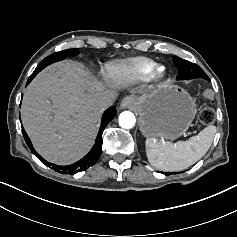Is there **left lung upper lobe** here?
<instances>
[{"label": "left lung upper lobe", "instance_id": "left-lung-upper-lobe-1", "mask_svg": "<svg viewBox=\"0 0 237 237\" xmlns=\"http://www.w3.org/2000/svg\"><path fill=\"white\" fill-rule=\"evenodd\" d=\"M173 61L175 66L178 68L177 80L202 78L210 81L209 77L198 65L176 56L173 57Z\"/></svg>", "mask_w": 237, "mask_h": 237}]
</instances>
